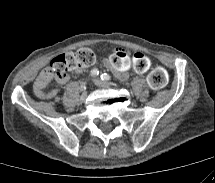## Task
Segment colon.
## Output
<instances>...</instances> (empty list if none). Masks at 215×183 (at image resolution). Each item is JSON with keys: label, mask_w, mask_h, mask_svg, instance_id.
I'll return each mask as SVG.
<instances>
[{"label": "colon", "mask_w": 215, "mask_h": 183, "mask_svg": "<svg viewBox=\"0 0 215 183\" xmlns=\"http://www.w3.org/2000/svg\"><path fill=\"white\" fill-rule=\"evenodd\" d=\"M94 62L95 55L93 51L88 48H81L75 52L63 53L51 61L45 72L44 80L63 78L69 71H78L90 67L94 64ZM111 64L113 65L112 61ZM113 66L116 67L115 65ZM167 80V72L164 68L161 67H156L150 70L147 75L148 84L155 89L164 87L167 83Z\"/></svg>", "instance_id": "colon-1"}]
</instances>
